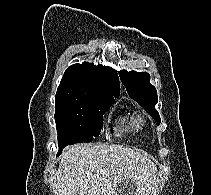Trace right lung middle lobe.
<instances>
[{
	"instance_id": "obj_1",
	"label": "right lung middle lobe",
	"mask_w": 211,
	"mask_h": 195,
	"mask_svg": "<svg viewBox=\"0 0 211 195\" xmlns=\"http://www.w3.org/2000/svg\"><path fill=\"white\" fill-rule=\"evenodd\" d=\"M59 151L71 144L89 142L101 131L103 114L113 102L55 99Z\"/></svg>"
}]
</instances>
